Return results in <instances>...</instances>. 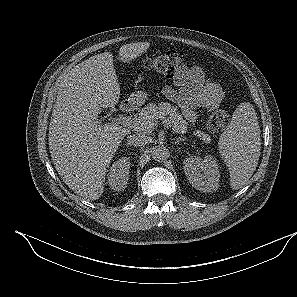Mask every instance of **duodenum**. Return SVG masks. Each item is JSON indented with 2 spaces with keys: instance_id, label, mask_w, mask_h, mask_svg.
Masks as SVG:
<instances>
[{
  "instance_id": "obj_1",
  "label": "duodenum",
  "mask_w": 297,
  "mask_h": 297,
  "mask_svg": "<svg viewBox=\"0 0 297 297\" xmlns=\"http://www.w3.org/2000/svg\"><path fill=\"white\" fill-rule=\"evenodd\" d=\"M135 107H136L135 100H127L121 104L120 111L123 114H129L134 111Z\"/></svg>"
}]
</instances>
